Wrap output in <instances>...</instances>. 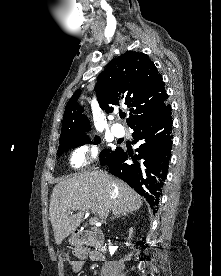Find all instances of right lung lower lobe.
I'll use <instances>...</instances> for the list:
<instances>
[{"label":"right lung lower lobe","mask_w":221,"mask_h":276,"mask_svg":"<svg viewBox=\"0 0 221 276\" xmlns=\"http://www.w3.org/2000/svg\"><path fill=\"white\" fill-rule=\"evenodd\" d=\"M134 143H139L133 157L120 150L105 164L110 173L121 178L145 197L151 208L159 203L167 176L172 149V117L169 104L157 115L130 126ZM128 155L133 163H126ZM155 212V210H154Z\"/></svg>","instance_id":"obj_1"}]
</instances>
